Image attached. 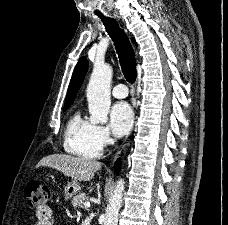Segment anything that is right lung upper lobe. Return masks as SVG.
<instances>
[{"instance_id":"cb5924a9","label":"right lung upper lobe","mask_w":228,"mask_h":225,"mask_svg":"<svg viewBox=\"0 0 228 225\" xmlns=\"http://www.w3.org/2000/svg\"><path fill=\"white\" fill-rule=\"evenodd\" d=\"M132 42L136 44L134 38H132ZM87 69L88 61L86 57L80 58L74 69L64 106L71 105V103L74 101L76 93L80 89V86L84 80Z\"/></svg>"}]
</instances>
